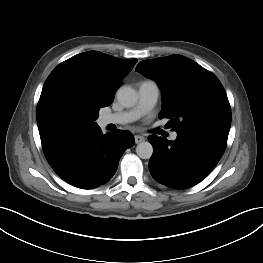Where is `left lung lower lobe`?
<instances>
[{
    "label": "left lung lower lobe",
    "mask_w": 263,
    "mask_h": 263,
    "mask_svg": "<svg viewBox=\"0 0 263 263\" xmlns=\"http://www.w3.org/2000/svg\"><path fill=\"white\" fill-rule=\"evenodd\" d=\"M175 141L150 135L154 153L149 171L159 183L186 189L206 178L222 157L229 131L205 128L203 131H176Z\"/></svg>",
    "instance_id": "1"
}]
</instances>
